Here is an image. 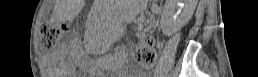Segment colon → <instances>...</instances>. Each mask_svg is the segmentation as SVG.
I'll return each instance as SVG.
<instances>
[{"instance_id": "obj_1", "label": "colon", "mask_w": 258, "mask_h": 77, "mask_svg": "<svg viewBox=\"0 0 258 77\" xmlns=\"http://www.w3.org/2000/svg\"><path fill=\"white\" fill-rule=\"evenodd\" d=\"M65 32L63 26L44 24L41 27L42 39L47 44L55 43ZM156 49L151 36L143 38L135 50V59L143 68L153 67L156 60Z\"/></svg>"}]
</instances>
